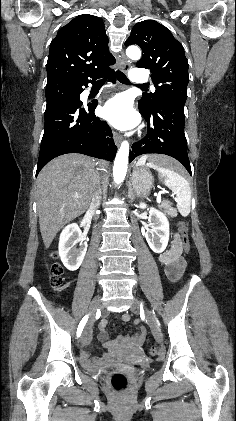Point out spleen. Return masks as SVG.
<instances>
[{"mask_svg": "<svg viewBox=\"0 0 236 421\" xmlns=\"http://www.w3.org/2000/svg\"><path fill=\"white\" fill-rule=\"evenodd\" d=\"M147 154L141 156L139 160H137V166H143L147 160ZM147 166H151V168H155L160 172L161 176H164V182L174 194H176V206L178 211L182 217H187L190 213L191 208V188L188 180L176 172L170 164L167 162H163V164H156V162H147Z\"/></svg>", "mask_w": 236, "mask_h": 421, "instance_id": "1", "label": "spleen"}]
</instances>
